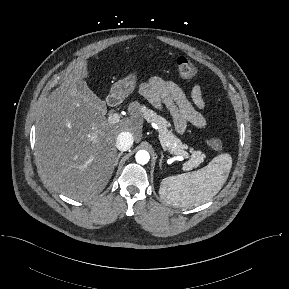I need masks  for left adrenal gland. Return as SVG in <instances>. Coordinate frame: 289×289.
<instances>
[{
    "label": "left adrenal gland",
    "instance_id": "left-adrenal-gland-1",
    "mask_svg": "<svg viewBox=\"0 0 289 289\" xmlns=\"http://www.w3.org/2000/svg\"><path fill=\"white\" fill-rule=\"evenodd\" d=\"M163 154L161 155V159H160V163H159V165H160V168L162 167V160H163Z\"/></svg>",
    "mask_w": 289,
    "mask_h": 289
}]
</instances>
